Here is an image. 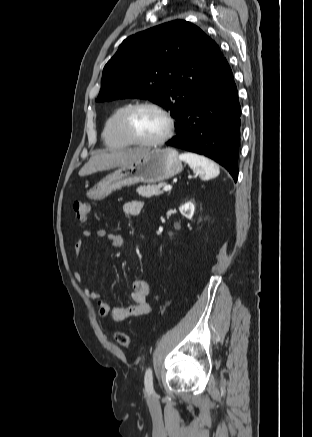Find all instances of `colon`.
I'll return each mask as SVG.
<instances>
[{
	"mask_svg": "<svg viewBox=\"0 0 312 437\" xmlns=\"http://www.w3.org/2000/svg\"><path fill=\"white\" fill-rule=\"evenodd\" d=\"M74 217L76 221L83 223L87 220L91 212V205L86 202L74 201L72 204ZM116 342L123 348H131L132 340L128 334L124 332L115 333Z\"/></svg>",
	"mask_w": 312,
	"mask_h": 437,
	"instance_id": "5ec220e1",
	"label": "colon"
}]
</instances>
